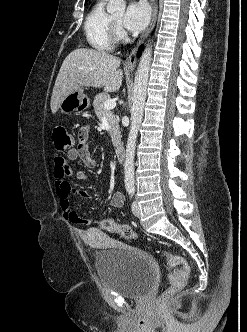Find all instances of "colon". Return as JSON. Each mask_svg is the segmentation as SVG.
Instances as JSON below:
<instances>
[{"mask_svg":"<svg viewBox=\"0 0 247 332\" xmlns=\"http://www.w3.org/2000/svg\"><path fill=\"white\" fill-rule=\"evenodd\" d=\"M52 140L58 152L70 150L74 144L72 135L63 126L54 128ZM99 227L107 232L119 234L125 239H135L137 236L131 227L120 224L111 218L101 219ZM160 255L166 260V266L169 271V286L160 294L158 299L163 304L184 289L190 275V267L186 260L179 255L165 250H161Z\"/></svg>","mask_w":247,"mask_h":332,"instance_id":"5ec220e1","label":"colon"}]
</instances>
